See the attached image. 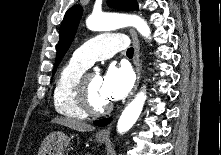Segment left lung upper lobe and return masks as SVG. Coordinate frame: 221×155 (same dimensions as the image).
Returning a JSON list of instances; mask_svg holds the SVG:
<instances>
[{
  "mask_svg": "<svg viewBox=\"0 0 221 155\" xmlns=\"http://www.w3.org/2000/svg\"><path fill=\"white\" fill-rule=\"evenodd\" d=\"M108 5L116 9H138L136 0H108ZM82 13V7L80 5H76L70 8L64 16L59 32L60 38L56 49L57 54L53 74L56 72V68L58 67L59 63L61 62L62 58L64 57L74 39Z\"/></svg>",
  "mask_w": 221,
  "mask_h": 155,
  "instance_id": "obj_1",
  "label": "left lung upper lobe"
}]
</instances>
